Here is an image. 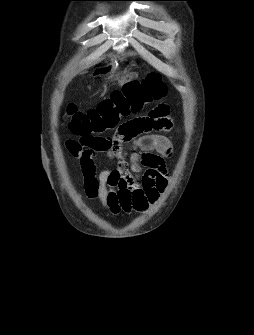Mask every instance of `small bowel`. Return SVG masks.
Returning <instances> with one entry per match:
<instances>
[{"instance_id":"obj_1","label":"small bowel","mask_w":254,"mask_h":335,"mask_svg":"<svg viewBox=\"0 0 254 335\" xmlns=\"http://www.w3.org/2000/svg\"><path fill=\"white\" fill-rule=\"evenodd\" d=\"M169 108L156 104L146 117L125 120L117 124L115 138L107 150L117 162L112 168L97 170L95 151L85 148L79 140L69 139V153L80 162L87 197L96 199L112 214L144 212L155 202L167 185L166 161L173 155L169 134ZM124 143H133L136 151L128 154Z\"/></svg>"}]
</instances>
